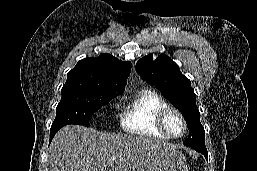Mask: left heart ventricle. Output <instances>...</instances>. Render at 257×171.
<instances>
[{
  "mask_svg": "<svg viewBox=\"0 0 257 171\" xmlns=\"http://www.w3.org/2000/svg\"><path fill=\"white\" fill-rule=\"evenodd\" d=\"M167 127L168 130L173 134V135H180L183 131V124L178 117V115L172 113L168 116L167 118Z\"/></svg>",
  "mask_w": 257,
  "mask_h": 171,
  "instance_id": "b2bd125f",
  "label": "left heart ventricle"
}]
</instances>
